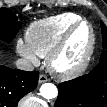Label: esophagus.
Returning <instances> with one entry per match:
<instances>
[{
  "mask_svg": "<svg viewBox=\"0 0 107 107\" xmlns=\"http://www.w3.org/2000/svg\"><path fill=\"white\" fill-rule=\"evenodd\" d=\"M48 81H49V79L45 75L39 76V83H44V82H48Z\"/></svg>",
  "mask_w": 107,
  "mask_h": 107,
  "instance_id": "34e87169",
  "label": "esophagus"
}]
</instances>
